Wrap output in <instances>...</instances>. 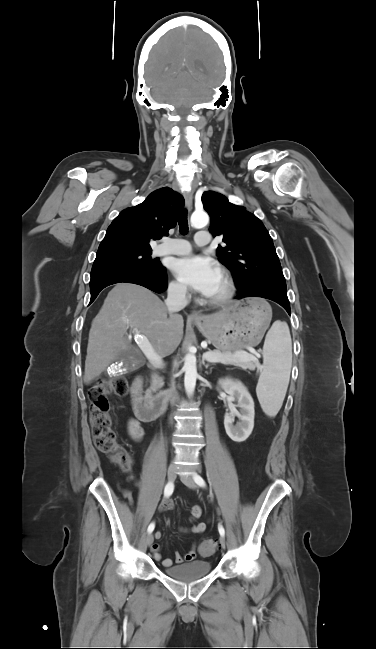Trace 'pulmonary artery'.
Segmentation results:
<instances>
[{
	"mask_svg": "<svg viewBox=\"0 0 376 649\" xmlns=\"http://www.w3.org/2000/svg\"><path fill=\"white\" fill-rule=\"evenodd\" d=\"M211 241L210 235L206 231H200L196 234L195 242L198 246H207ZM191 251L190 243L185 239H169L154 249V255H184Z\"/></svg>",
	"mask_w": 376,
	"mask_h": 649,
	"instance_id": "1",
	"label": "pulmonary artery"
}]
</instances>
